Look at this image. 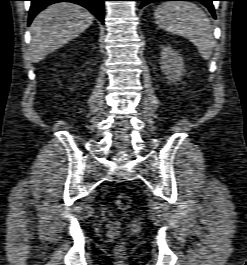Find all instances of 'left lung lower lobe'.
<instances>
[{
	"label": "left lung lower lobe",
	"instance_id": "0a47b994",
	"mask_svg": "<svg viewBox=\"0 0 247 265\" xmlns=\"http://www.w3.org/2000/svg\"><path fill=\"white\" fill-rule=\"evenodd\" d=\"M137 1H141V5L140 8L144 7L145 5L152 3V2H158V1H172V0H137ZM183 1H198L200 3H202L204 6H206L209 11L211 12V14L213 15V17L215 18V11H214V7L212 2L215 0H183Z\"/></svg>",
	"mask_w": 247,
	"mask_h": 265
}]
</instances>
